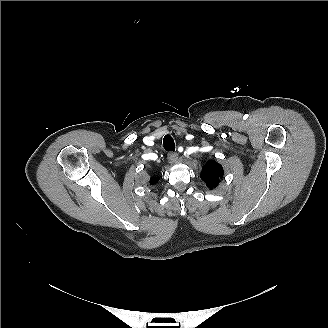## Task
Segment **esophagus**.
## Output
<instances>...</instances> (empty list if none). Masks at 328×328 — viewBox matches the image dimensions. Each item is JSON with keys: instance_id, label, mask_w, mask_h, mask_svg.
Listing matches in <instances>:
<instances>
[{"instance_id": "esophagus-1", "label": "esophagus", "mask_w": 328, "mask_h": 328, "mask_svg": "<svg viewBox=\"0 0 328 328\" xmlns=\"http://www.w3.org/2000/svg\"><path fill=\"white\" fill-rule=\"evenodd\" d=\"M168 160H169V162H171V163L176 162V161L178 160V154L175 153V152H170V153L168 154Z\"/></svg>"}]
</instances>
